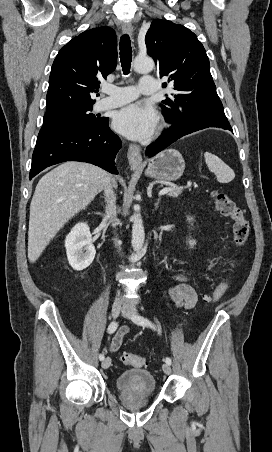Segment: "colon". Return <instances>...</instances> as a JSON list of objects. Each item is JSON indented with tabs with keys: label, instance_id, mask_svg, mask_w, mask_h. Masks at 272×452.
<instances>
[{
	"label": "colon",
	"instance_id": "obj_1",
	"mask_svg": "<svg viewBox=\"0 0 272 452\" xmlns=\"http://www.w3.org/2000/svg\"><path fill=\"white\" fill-rule=\"evenodd\" d=\"M212 198L216 209L223 216L228 217L233 221L234 241L238 246H243L249 237V223L242 210L223 192L217 190L213 191ZM227 287V280L221 281L211 293L203 295V301L209 304L218 301L227 290ZM121 361L125 365L134 367H143L147 363L144 357L133 353H123L121 355Z\"/></svg>",
	"mask_w": 272,
	"mask_h": 452
}]
</instances>
